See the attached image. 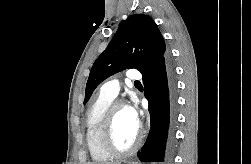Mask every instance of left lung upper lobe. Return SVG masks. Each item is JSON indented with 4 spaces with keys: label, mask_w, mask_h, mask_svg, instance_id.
<instances>
[{
    "label": "left lung upper lobe",
    "mask_w": 251,
    "mask_h": 164,
    "mask_svg": "<svg viewBox=\"0 0 251 164\" xmlns=\"http://www.w3.org/2000/svg\"><path fill=\"white\" fill-rule=\"evenodd\" d=\"M166 56L164 39L152 18L142 14L129 16L94 62L86 85L84 104L94 89L114 73L135 68L145 75Z\"/></svg>",
    "instance_id": "obj_1"
}]
</instances>
